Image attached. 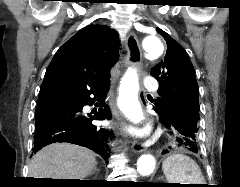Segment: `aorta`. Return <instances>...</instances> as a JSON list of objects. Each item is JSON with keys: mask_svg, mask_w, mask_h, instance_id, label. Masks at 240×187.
Returning <instances> with one entry per match:
<instances>
[{"mask_svg": "<svg viewBox=\"0 0 240 187\" xmlns=\"http://www.w3.org/2000/svg\"><path fill=\"white\" fill-rule=\"evenodd\" d=\"M142 51L148 59H156L163 54L164 45L158 35H147L142 39ZM138 91L137 71L129 68L120 82L118 106L134 123L140 122L143 118L138 102ZM155 165V158L152 155L144 154L137 161V170L142 176H148L154 171Z\"/></svg>", "mask_w": 240, "mask_h": 187, "instance_id": "762f6f07", "label": "aorta"}]
</instances>
